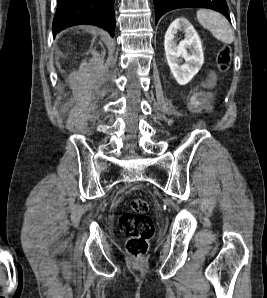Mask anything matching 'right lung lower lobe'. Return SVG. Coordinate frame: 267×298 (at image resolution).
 <instances>
[{
    "instance_id": "obj_1",
    "label": "right lung lower lobe",
    "mask_w": 267,
    "mask_h": 298,
    "mask_svg": "<svg viewBox=\"0 0 267 298\" xmlns=\"http://www.w3.org/2000/svg\"><path fill=\"white\" fill-rule=\"evenodd\" d=\"M115 0H57L53 20V35L63 29L80 24L99 26L114 37Z\"/></svg>"
}]
</instances>
